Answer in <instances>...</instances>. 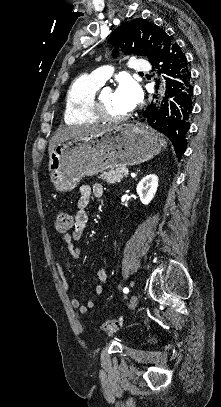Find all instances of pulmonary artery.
I'll use <instances>...</instances> for the list:
<instances>
[{
  "label": "pulmonary artery",
  "mask_w": 221,
  "mask_h": 407,
  "mask_svg": "<svg viewBox=\"0 0 221 407\" xmlns=\"http://www.w3.org/2000/svg\"><path fill=\"white\" fill-rule=\"evenodd\" d=\"M129 70H132L134 73H144L149 70V65L140 59H134L129 65ZM111 75L110 68L108 66H101L96 68L90 73V76L99 84H104Z\"/></svg>",
  "instance_id": "1"
}]
</instances>
